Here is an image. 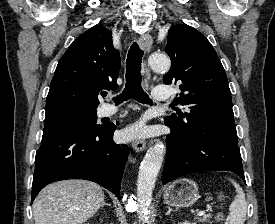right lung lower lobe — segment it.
Segmentation results:
<instances>
[{
	"mask_svg": "<svg viewBox=\"0 0 275 224\" xmlns=\"http://www.w3.org/2000/svg\"><path fill=\"white\" fill-rule=\"evenodd\" d=\"M114 124L93 130L71 125L44 127L36 152L32 201L47 184L65 179L96 182L120 198L128 146L113 141Z\"/></svg>",
	"mask_w": 275,
	"mask_h": 224,
	"instance_id": "1",
	"label": "right lung lower lobe"
}]
</instances>
